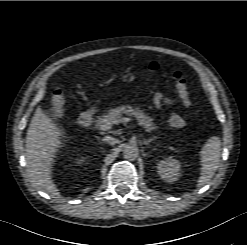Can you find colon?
Wrapping results in <instances>:
<instances>
[{"instance_id": "5ec220e1", "label": "colon", "mask_w": 247, "mask_h": 245, "mask_svg": "<svg viewBox=\"0 0 247 245\" xmlns=\"http://www.w3.org/2000/svg\"><path fill=\"white\" fill-rule=\"evenodd\" d=\"M150 70H164L165 68L156 61H152L149 64ZM173 79L175 81L176 90L178 96L181 99L182 104L186 108H190L192 106V101L189 94V87L186 77L181 71L173 72ZM52 104V112L55 116H60L64 109L65 99L64 95L60 90H55L52 94L51 99ZM186 124L185 119L178 115H172L169 119V126L173 129H182Z\"/></svg>"}]
</instances>
